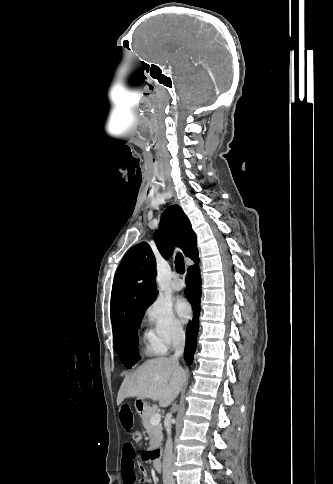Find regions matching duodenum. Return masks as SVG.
Segmentation results:
<instances>
[{"label":"duodenum","mask_w":333,"mask_h":484,"mask_svg":"<svg viewBox=\"0 0 333 484\" xmlns=\"http://www.w3.org/2000/svg\"><path fill=\"white\" fill-rule=\"evenodd\" d=\"M152 462H153V467L156 470V472H161L162 463H161V452H160L159 449H155L152 452Z\"/></svg>","instance_id":"410a0bca"}]
</instances>
